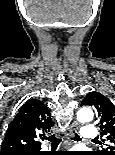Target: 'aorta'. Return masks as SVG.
Instances as JSON below:
<instances>
[{
    "label": "aorta",
    "instance_id": "aorta-1",
    "mask_svg": "<svg viewBox=\"0 0 115 155\" xmlns=\"http://www.w3.org/2000/svg\"><path fill=\"white\" fill-rule=\"evenodd\" d=\"M93 111L89 107H83L77 112V119L81 123L91 122L93 120Z\"/></svg>",
    "mask_w": 115,
    "mask_h": 155
}]
</instances>
